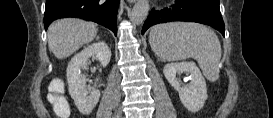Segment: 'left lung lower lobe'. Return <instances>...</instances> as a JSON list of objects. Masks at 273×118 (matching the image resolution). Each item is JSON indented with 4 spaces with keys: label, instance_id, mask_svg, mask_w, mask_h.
<instances>
[{
    "label": "left lung lower lobe",
    "instance_id": "left-lung-lower-lobe-1",
    "mask_svg": "<svg viewBox=\"0 0 273 118\" xmlns=\"http://www.w3.org/2000/svg\"><path fill=\"white\" fill-rule=\"evenodd\" d=\"M172 21H191L212 26L223 36L224 22L219 7L207 0H175L172 8L152 9L145 21L142 34L152 25Z\"/></svg>",
    "mask_w": 273,
    "mask_h": 118
}]
</instances>
